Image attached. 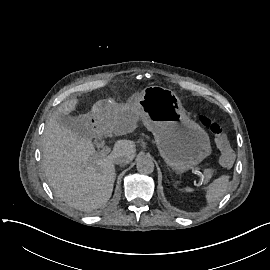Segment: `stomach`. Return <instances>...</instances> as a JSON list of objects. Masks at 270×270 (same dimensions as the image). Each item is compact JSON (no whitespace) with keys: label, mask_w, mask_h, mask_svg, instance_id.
<instances>
[{"label":"stomach","mask_w":270,"mask_h":270,"mask_svg":"<svg viewBox=\"0 0 270 270\" xmlns=\"http://www.w3.org/2000/svg\"><path fill=\"white\" fill-rule=\"evenodd\" d=\"M138 116L152 132L159 154L177 174L188 172L206 157L212 148L208 133L189 119L176 95L160 86H148L136 99L117 106L119 115Z\"/></svg>","instance_id":"1"}]
</instances>
